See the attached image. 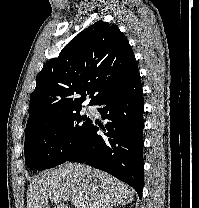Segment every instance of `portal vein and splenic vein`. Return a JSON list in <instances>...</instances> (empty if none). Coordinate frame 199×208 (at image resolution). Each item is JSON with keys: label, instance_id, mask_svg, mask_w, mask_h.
<instances>
[{"label": "portal vein and splenic vein", "instance_id": "1", "mask_svg": "<svg viewBox=\"0 0 199 208\" xmlns=\"http://www.w3.org/2000/svg\"><path fill=\"white\" fill-rule=\"evenodd\" d=\"M70 201H71V203H73V204L75 205L76 208H80V205H78V204L75 202V200L72 199V200H70Z\"/></svg>", "mask_w": 199, "mask_h": 208}]
</instances>
